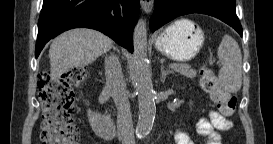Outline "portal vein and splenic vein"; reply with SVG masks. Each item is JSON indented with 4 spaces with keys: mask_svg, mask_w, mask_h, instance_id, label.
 I'll return each mask as SVG.
<instances>
[{
    "mask_svg": "<svg viewBox=\"0 0 273 144\" xmlns=\"http://www.w3.org/2000/svg\"><path fill=\"white\" fill-rule=\"evenodd\" d=\"M181 66L182 65H179V64H169V67L174 68V69L180 68ZM185 67H188V65H185Z\"/></svg>",
    "mask_w": 273,
    "mask_h": 144,
    "instance_id": "portal-vein-and-splenic-vein-1",
    "label": "portal vein and splenic vein"
}]
</instances>
